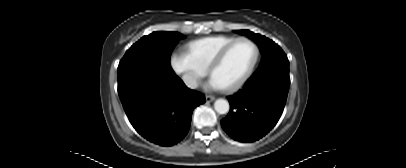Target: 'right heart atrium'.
<instances>
[{
  "instance_id": "d8ad5b80",
  "label": "right heart atrium",
  "mask_w": 406,
  "mask_h": 168,
  "mask_svg": "<svg viewBox=\"0 0 406 168\" xmlns=\"http://www.w3.org/2000/svg\"><path fill=\"white\" fill-rule=\"evenodd\" d=\"M171 66L174 71L181 77L184 84L190 88L197 86L202 77L205 76L206 70L198 66L188 53L176 51L170 58Z\"/></svg>"
}]
</instances>
